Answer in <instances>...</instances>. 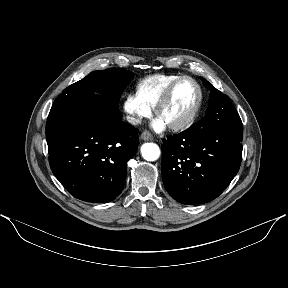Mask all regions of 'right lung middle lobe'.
<instances>
[{
    "label": "right lung middle lobe",
    "instance_id": "1",
    "mask_svg": "<svg viewBox=\"0 0 288 288\" xmlns=\"http://www.w3.org/2000/svg\"><path fill=\"white\" fill-rule=\"evenodd\" d=\"M134 77V74L120 68H111L101 71H93L82 80L67 87L54 101L50 112L62 104L76 98L100 91L105 104L120 116L118 102L125 87Z\"/></svg>",
    "mask_w": 288,
    "mask_h": 288
}]
</instances>
